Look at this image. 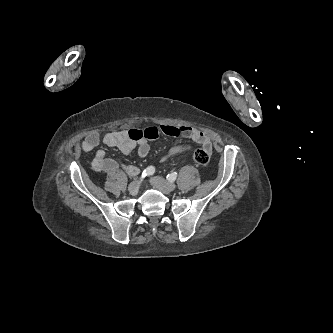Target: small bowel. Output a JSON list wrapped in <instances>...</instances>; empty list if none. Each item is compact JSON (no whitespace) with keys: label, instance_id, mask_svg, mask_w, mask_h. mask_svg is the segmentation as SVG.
<instances>
[{"label":"small bowel","instance_id":"c3829d8e","mask_svg":"<svg viewBox=\"0 0 333 333\" xmlns=\"http://www.w3.org/2000/svg\"><path fill=\"white\" fill-rule=\"evenodd\" d=\"M160 134H165L173 137L190 138L200 144L202 149L209 154L212 151V142L210 137L190 126H173L161 125L158 127H148L143 129L132 130H116L106 133L103 138H100L96 132L90 133L82 142L84 151L95 149L101 142L108 147L117 148L124 154H129L133 150H137L140 157H146L149 153L148 140L157 138ZM181 152L180 149H173L171 154ZM92 166L96 170H103L108 173H113L117 170L118 165L114 160L108 159L103 150H97L92 160Z\"/></svg>","mask_w":333,"mask_h":333}]
</instances>
